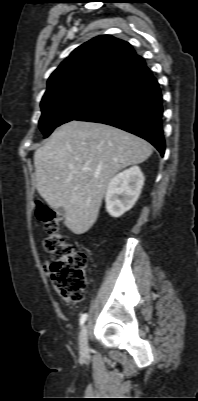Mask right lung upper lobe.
<instances>
[{
  "label": "right lung upper lobe",
  "mask_w": 198,
  "mask_h": 401,
  "mask_svg": "<svg viewBox=\"0 0 198 401\" xmlns=\"http://www.w3.org/2000/svg\"><path fill=\"white\" fill-rule=\"evenodd\" d=\"M144 63L128 42L98 36L76 48L51 74L43 99L83 86L109 87Z\"/></svg>",
  "instance_id": "right-lung-upper-lobe-1"
}]
</instances>
